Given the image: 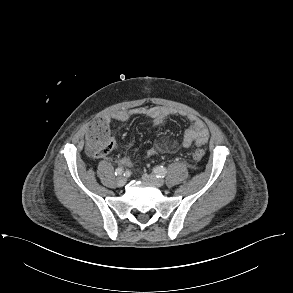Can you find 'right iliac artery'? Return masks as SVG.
<instances>
[{
    "mask_svg": "<svg viewBox=\"0 0 293 293\" xmlns=\"http://www.w3.org/2000/svg\"><path fill=\"white\" fill-rule=\"evenodd\" d=\"M123 168L122 167H118L116 170H115V175H121L123 173Z\"/></svg>",
    "mask_w": 293,
    "mask_h": 293,
    "instance_id": "right-iliac-artery-1",
    "label": "right iliac artery"
}]
</instances>
